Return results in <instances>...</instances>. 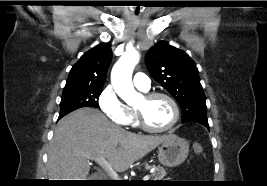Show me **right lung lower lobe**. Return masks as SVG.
<instances>
[{
  "instance_id": "1",
  "label": "right lung lower lobe",
  "mask_w": 267,
  "mask_h": 186,
  "mask_svg": "<svg viewBox=\"0 0 267 186\" xmlns=\"http://www.w3.org/2000/svg\"><path fill=\"white\" fill-rule=\"evenodd\" d=\"M62 117H63V116H60V115H59V118H58V119H60V118H62Z\"/></svg>"
}]
</instances>
